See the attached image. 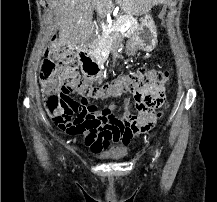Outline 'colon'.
I'll return each mask as SVG.
<instances>
[{
	"label": "colon",
	"instance_id": "colon-1",
	"mask_svg": "<svg viewBox=\"0 0 217 202\" xmlns=\"http://www.w3.org/2000/svg\"><path fill=\"white\" fill-rule=\"evenodd\" d=\"M73 51V47H51L43 50L44 54L51 55L40 59V64H45V67L38 71L41 82L39 90L45 91L43 103H47L46 111H57L49 112V118L54 119L57 127L69 134H82L87 130L101 131L107 127L111 131L150 130L149 113L165 99V86L170 80V73L166 70H142L129 75L123 83L133 94L135 108L139 112H149L147 115L139 117L125 111L120 116L109 112L99 114L97 107L89 104V90L81 89L83 96L79 100L70 97L71 91H75V82H70L71 78L79 76L76 73V60L69 56L73 55ZM57 55H60V63H56ZM163 110H160L162 114L157 116L158 120L162 118Z\"/></svg>",
	"mask_w": 217,
	"mask_h": 202
}]
</instances>
